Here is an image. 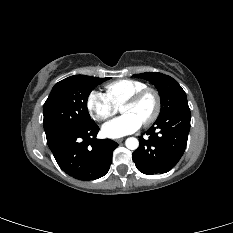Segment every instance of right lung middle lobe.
Returning a JSON list of instances; mask_svg holds the SVG:
<instances>
[{
    "mask_svg": "<svg viewBox=\"0 0 233 233\" xmlns=\"http://www.w3.org/2000/svg\"><path fill=\"white\" fill-rule=\"evenodd\" d=\"M108 79L74 75L56 83L43 106L46 136L93 122L87 110L88 96L97 85Z\"/></svg>",
    "mask_w": 233,
    "mask_h": 233,
    "instance_id": "1",
    "label": "right lung middle lobe"
}]
</instances>
